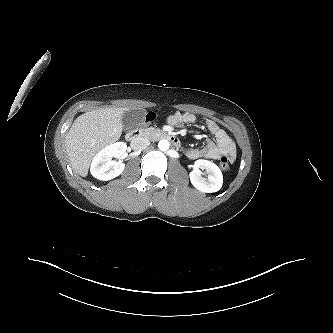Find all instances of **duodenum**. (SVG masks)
<instances>
[{"mask_svg":"<svg viewBox=\"0 0 333 333\" xmlns=\"http://www.w3.org/2000/svg\"><path fill=\"white\" fill-rule=\"evenodd\" d=\"M149 135L154 136L158 139L167 140L175 147L180 146V141L176 136L160 129L152 131L133 130L126 134V139L130 142L133 148H139L141 146L142 140Z\"/></svg>","mask_w":333,"mask_h":333,"instance_id":"410a0bca","label":"duodenum"}]
</instances>
